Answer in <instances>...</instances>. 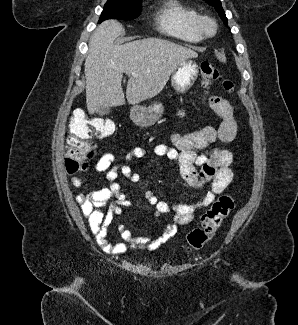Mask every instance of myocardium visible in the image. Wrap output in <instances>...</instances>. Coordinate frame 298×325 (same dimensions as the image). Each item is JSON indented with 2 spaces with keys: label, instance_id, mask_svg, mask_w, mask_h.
Instances as JSON below:
<instances>
[{
  "label": "myocardium",
  "instance_id": "1",
  "mask_svg": "<svg viewBox=\"0 0 298 325\" xmlns=\"http://www.w3.org/2000/svg\"><path fill=\"white\" fill-rule=\"evenodd\" d=\"M198 27L203 37H211L215 34V26L210 18L206 16H200Z\"/></svg>",
  "mask_w": 298,
  "mask_h": 325
}]
</instances>
